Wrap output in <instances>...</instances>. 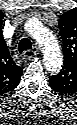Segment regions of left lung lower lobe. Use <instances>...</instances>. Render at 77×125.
<instances>
[{"instance_id": "left-lung-lower-lobe-1", "label": "left lung lower lobe", "mask_w": 77, "mask_h": 125, "mask_svg": "<svg viewBox=\"0 0 77 125\" xmlns=\"http://www.w3.org/2000/svg\"><path fill=\"white\" fill-rule=\"evenodd\" d=\"M50 85H51V87H52L54 90H56L57 92L63 93L62 91H59V90L55 89V85H52L51 83H50Z\"/></svg>"}]
</instances>
